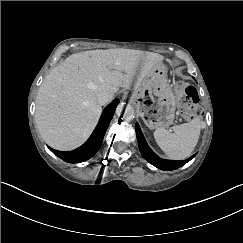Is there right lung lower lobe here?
<instances>
[{
  "instance_id": "obj_1",
  "label": "right lung lower lobe",
  "mask_w": 243,
  "mask_h": 243,
  "mask_svg": "<svg viewBox=\"0 0 243 243\" xmlns=\"http://www.w3.org/2000/svg\"><path fill=\"white\" fill-rule=\"evenodd\" d=\"M119 100L115 99L112 101L103 111L98 125L96 126L94 132L90 138L78 149L68 152L57 151L49 147V149L57 155L59 158L63 159L69 163H79L86 161L93 157L96 152L99 150L105 132L109 126V123L114 115L116 106L118 105Z\"/></svg>"
}]
</instances>
